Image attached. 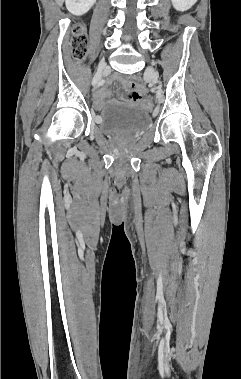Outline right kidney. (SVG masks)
I'll use <instances>...</instances> for the list:
<instances>
[{"mask_svg":"<svg viewBox=\"0 0 241 379\" xmlns=\"http://www.w3.org/2000/svg\"><path fill=\"white\" fill-rule=\"evenodd\" d=\"M96 0H65L66 8L74 15H82L88 12Z\"/></svg>","mask_w":241,"mask_h":379,"instance_id":"1","label":"right kidney"}]
</instances>
